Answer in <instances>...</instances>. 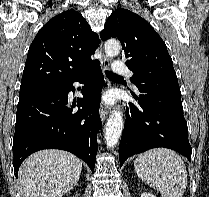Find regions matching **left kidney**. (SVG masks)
Returning <instances> with one entry per match:
<instances>
[{
	"instance_id": "left-kidney-1",
	"label": "left kidney",
	"mask_w": 209,
	"mask_h": 197,
	"mask_svg": "<svg viewBox=\"0 0 209 197\" xmlns=\"http://www.w3.org/2000/svg\"><path fill=\"white\" fill-rule=\"evenodd\" d=\"M141 197H156V196H154V195L151 194V193L144 192V193L141 194Z\"/></svg>"
}]
</instances>
